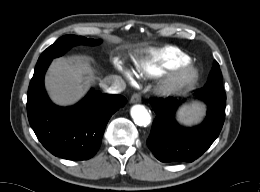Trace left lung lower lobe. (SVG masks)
<instances>
[{"instance_id": "left-lung-lower-lobe-1", "label": "left lung lower lobe", "mask_w": 260, "mask_h": 192, "mask_svg": "<svg viewBox=\"0 0 260 192\" xmlns=\"http://www.w3.org/2000/svg\"><path fill=\"white\" fill-rule=\"evenodd\" d=\"M194 96L208 107L204 122L194 128H183L174 119L181 100L170 97L150 100L156 118L147 146L158 160L192 162L218 137L225 119L226 95L223 87H203L196 90Z\"/></svg>"}]
</instances>
